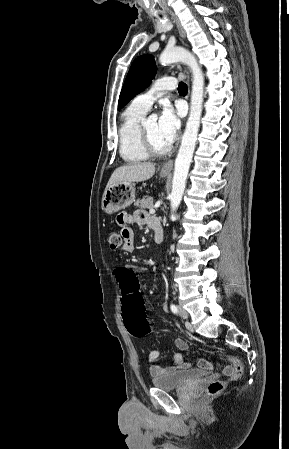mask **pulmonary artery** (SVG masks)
<instances>
[{"mask_svg":"<svg viewBox=\"0 0 289 449\" xmlns=\"http://www.w3.org/2000/svg\"><path fill=\"white\" fill-rule=\"evenodd\" d=\"M177 82L174 77L158 78L152 85L151 89L134 98L132 104L136 107L148 110L153 102L163 94L164 91L176 88Z\"/></svg>","mask_w":289,"mask_h":449,"instance_id":"pulmonary-artery-1","label":"pulmonary artery"}]
</instances>
